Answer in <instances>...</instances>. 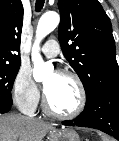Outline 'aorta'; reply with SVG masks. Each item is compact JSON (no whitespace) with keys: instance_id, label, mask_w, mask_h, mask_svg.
Wrapping results in <instances>:
<instances>
[{"instance_id":"aorta-1","label":"aorta","mask_w":119,"mask_h":141,"mask_svg":"<svg viewBox=\"0 0 119 141\" xmlns=\"http://www.w3.org/2000/svg\"><path fill=\"white\" fill-rule=\"evenodd\" d=\"M60 17L56 12L43 14L36 29V40L32 48V61L34 63L33 77L36 81H42L46 75L53 70L50 63H45L39 53L40 41L51 33L59 24Z\"/></svg>"}]
</instances>
